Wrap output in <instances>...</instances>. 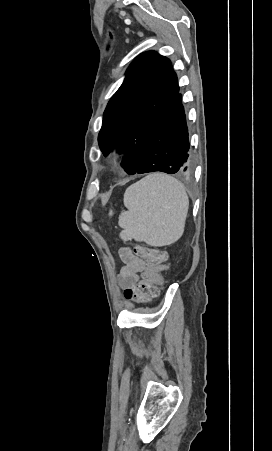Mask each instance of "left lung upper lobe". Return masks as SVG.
<instances>
[{
  "label": "left lung upper lobe",
  "mask_w": 272,
  "mask_h": 451,
  "mask_svg": "<svg viewBox=\"0 0 272 451\" xmlns=\"http://www.w3.org/2000/svg\"><path fill=\"white\" fill-rule=\"evenodd\" d=\"M178 91L168 58L154 51L136 57L105 109L98 135L101 151L107 155L114 144L120 146L122 167L135 174L160 116Z\"/></svg>",
  "instance_id": "1"
}]
</instances>
